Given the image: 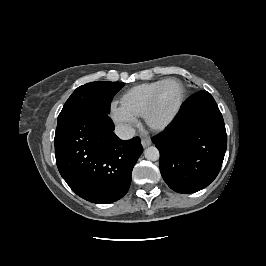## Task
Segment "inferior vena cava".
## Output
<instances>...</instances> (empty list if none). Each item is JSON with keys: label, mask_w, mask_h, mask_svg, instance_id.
I'll use <instances>...</instances> for the list:
<instances>
[{"label": "inferior vena cava", "mask_w": 266, "mask_h": 266, "mask_svg": "<svg viewBox=\"0 0 266 266\" xmlns=\"http://www.w3.org/2000/svg\"><path fill=\"white\" fill-rule=\"evenodd\" d=\"M115 134L122 140H128L135 136V130L128 124H118L115 127Z\"/></svg>", "instance_id": "obj_1"}]
</instances>
